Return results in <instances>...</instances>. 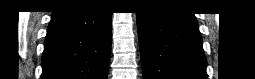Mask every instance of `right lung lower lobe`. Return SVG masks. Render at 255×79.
I'll return each mask as SVG.
<instances>
[{
	"label": "right lung lower lobe",
	"mask_w": 255,
	"mask_h": 79,
	"mask_svg": "<svg viewBox=\"0 0 255 79\" xmlns=\"http://www.w3.org/2000/svg\"><path fill=\"white\" fill-rule=\"evenodd\" d=\"M112 13L92 6L53 12L44 44L41 79H106Z\"/></svg>",
	"instance_id": "1"
}]
</instances>
